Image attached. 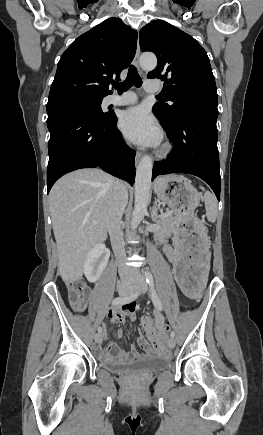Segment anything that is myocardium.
<instances>
[{"instance_id":"myocardium-1","label":"myocardium","mask_w":263,"mask_h":435,"mask_svg":"<svg viewBox=\"0 0 263 435\" xmlns=\"http://www.w3.org/2000/svg\"><path fill=\"white\" fill-rule=\"evenodd\" d=\"M170 151H171V145L168 142H166L161 146V148L158 151V154L161 157H165L170 153Z\"/></svg>"}]
</instances>
